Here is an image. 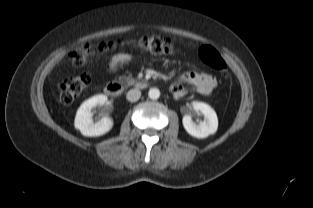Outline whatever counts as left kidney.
Masks as SVG:
<instances>
[{
  "label": "left kidney",
  "instance_id": "5707ae66",
  "mask_svg": "<svg viewBox=\"0 0 313 208\" xmlns=\"http://www.w3.org/2000/svg\"><path fill=\"white\" fill-rule=\"evenodd\" d=\"M192 109L197 113L200 112L204 116V120L196 124L190 115L183 116L182 123L185 130L196 138H206L210 134H214L218 128V118L214 109L203 102H193Z\"/></svg>",
  "mask_w": 313,
  "mask_h": 208
}]
</instances>
